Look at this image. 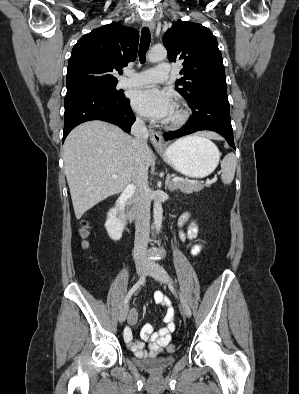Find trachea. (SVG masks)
Instances as JSON below:
<instances>
[{"label":"trachea","instance_id":"3493384b","mask_svg":"<svg viewBox=\"0 0 299 394\" xmlns=\"http://www.w3.org/2000/svg\"><path fill=\"white\" fill-rule=\"evenodd\" d=\"M151 42V35L148 27H144L141 31V40L139 46V59L141 63L145 62V55L149 49Z\"/></svg>","mask_w":299,"mask_h":394}]
</instances>
